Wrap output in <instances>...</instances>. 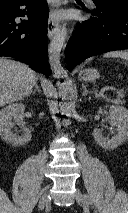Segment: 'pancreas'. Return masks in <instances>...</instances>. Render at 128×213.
<instances>
[{
	"mask_svg": "<svg viewBox=\"0 0 128 213\" xmlns=\"http://www.w3.org/2000/svg\"><path fill=\"white\" fill-rule=\"evenodd\" d=\"M108 101H110V102H112L114 104H124L125 103V101L122 100L120 97H118L116 99H113V100H108Z\"/></svg>",
	"mask_w": 128,
	"mask_h": 213,
	"instance_id": "cf45deb5",
	"label": "pancreas"
}]
</instances>
